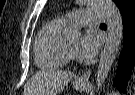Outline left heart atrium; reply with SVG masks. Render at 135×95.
I'll return each mask as SVG.
<instances>
[{
	"instance_id": "1",
	"label": "left heart atrium",
	"mask_w": 135,
	"mask_h": 95,
	"mask_svg": "<svg viewBox=\"0 0 135 95\" xmlns=\"http://www.w3.org/2000/svg\"><path fill=\"white\" fill-rule=\"evenodd\" d=\"M100 39L93 32H86L77 45L75 54L82 61H91L98 53Z\"/></svg>"
}]
</instances>
